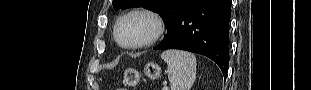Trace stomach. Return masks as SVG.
Returning <instances> with one entry per match:
<instances>
[{"mask_svg": "<svg viewBox=\"0 0 311 90\" xmlns=\"http://www.w3.org/2000/svg\"><path fill=\"white\" fill-rule=\"evenodd\" d=\"M144 74L150 79H156L161 74V68L153 62H149L144 68ZM140 77L141 74L137 70L129 69L124 74V83L128 86H136L140 81Z\"/></svg>", "mask_w": 311, "mask_h": 90, "instance_id": "stomach-1", "label": "stomach"}]
</instances>
